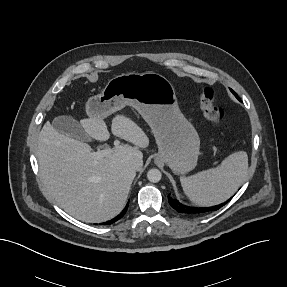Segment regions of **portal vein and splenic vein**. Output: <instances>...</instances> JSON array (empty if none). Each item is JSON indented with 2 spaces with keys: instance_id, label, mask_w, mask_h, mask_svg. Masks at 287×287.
Masks as SVG:
<instances>
[{
  "instance_id": "1",
  "label": "portal vein and splenic vein",
  "mask_w": 287,
  "mask_h": 287,
  "mask_svg": "<svg viewBox=\"0 0 287 287\" xmlns=\"http://www.w3.org/2000/svg\"><path fill=\"white\" fill-rule=\"evenodd\" d=\"M119 144H120V141H119V140H115V141H114L115 147L119 146ZM111 152H112V149L106 147V148H104V149H102V150L99 149L97 152H94V153H93V157H94L95 159H101V158L107 156L108 154H110Z\"/></svg>"
}]
</instances>
